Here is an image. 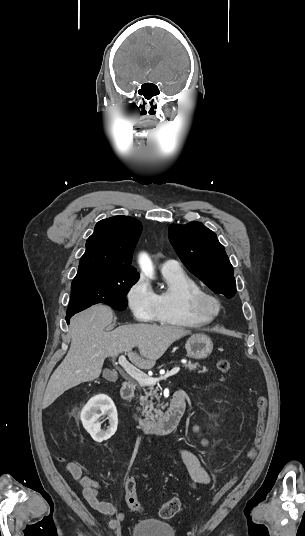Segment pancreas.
<instances>
[{"instance_id":"obj_1","label":"pancreas","mask_w":305,"mask_h":536,"mask_svg":"<svg viewBox=\"0 0 305 536\" xmlns=\"http://www.w3.org/2000/svg\"><path fill=\"white\" fill-rule=\"evenodd\" d=\"M185 368H189L191 372H195L197 368H199V364H192V362H188V364H184ZM204 372H207L206 368H203V370H199L198 374H204ZM155 384H151V386H139L138 390H141V392H144L145 396H142L140 394L139 396V402L140 406H144L142 414H145V420H151V424H154L155 418H159V416H163V412L161 410H158L160 408V404H157V408H154L155 402L153 400H159V394L157 388H154ZM155 412V414H153Z\"/></svg>"}]
</instances>
